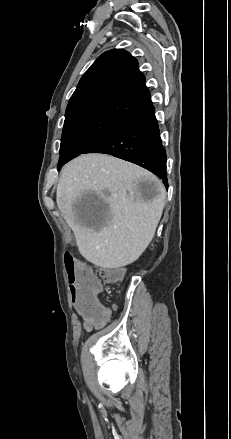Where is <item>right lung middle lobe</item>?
<instances>
[{"instance_id": "obj_1", "label": "right lung middle lobe", "mask_w": 231, "mask_h": 439, "mask_svg": "<svg viewBox=\"0 0 231 439\" xmlns=\"http://www.w3.org/2000/svg\"><path fill=\"white\" fill-rule=\"evenodd\" d=\"M123 118L102 113L66 117L60 145L58 170L71 159L84 153Z\"/></svg>"}]
</instances>
